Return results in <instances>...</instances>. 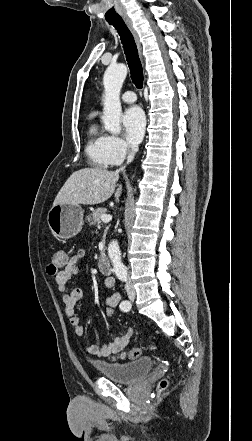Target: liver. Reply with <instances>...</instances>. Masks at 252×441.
Masks as SVG:
<instances>
[{
    "label": "liver",
    "mask_w": 252,
    "mask_h": 441,
    "mask_svg": "<svg viewBox=\"0 0 252 441\" xmlns=\"http://www.w3.org/2000/svg\"><path fill=\"white\" fill-rule=\"evenodd\" d=\"M119 179L117 171L100 168H83L72 173L58 192L53 205L83 204L96 205L108 200L115 191ZM122 186L115 193L116 199L121 195Z\"/></svg>",
    "instance_id": "liver-1"
}]
</instances>
